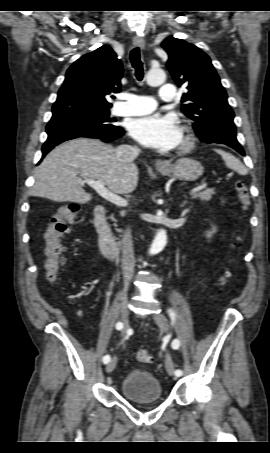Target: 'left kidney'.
<instances>
[{
    "label": "left kidney",
    "instance_id": "5707ae66",
    "mask_svg": "<svg viewBox=\"0 0 270 453\" xmlns=\"http://www.w3.org/2000/svg\"><path fill=\"white\" fill-rule=\"evenodd\" d=\"M214 232H215V230H213L212 232H208L207 237H211V234Z\"/></svg>",
    "mask_w": 270,
    "mask_h": 453
}]
</instances>
